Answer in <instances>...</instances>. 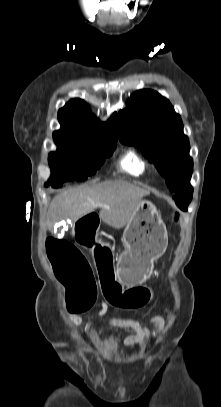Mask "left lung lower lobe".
Returning <instances> with one entry per match:
<instances>
[{
    "instance_id": "obj_1",
    "label": "left lung lower lobe",
    "mask_w": 221,
    "mask_h": 407,
    "mask_svg": "<svg viewBox=\"0 0 221 407\" xmlns=\"http://www.w3.org/2000/svg\"><path fill=\"white\" fill-rule=\"evenodd\" d=\"M174 200L179 208L186 211L189 203L192 200V192L183 195H178L174 198Z\"/></svg>"
}]
</instances>
